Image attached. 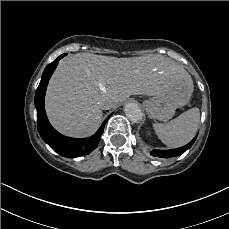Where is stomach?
Wrapping results in <instances>:
<instances>
[{"mask_svg":"<svg viewBox=\"0 0 229 229\" xmlns=\"http://www.w3.org/2000/svg\"><path fill=\"white\" fill-rule=\"evenodd\" d=\"M192 92L193 87L188 88L175 84L165 92L141 101L140 106L151 119L167 121L174 117L178 107L189 102Z\"/></svg>","mask_w":229,"mask_h":229,"instance_id":"1","label":"stomach"}]
</instances>
